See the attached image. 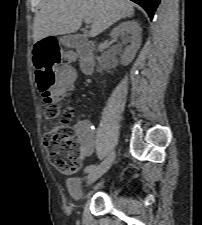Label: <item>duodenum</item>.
Masks as SVG:
<instances>
[{
	"mask_svg": "<svg viewBox=\"0 0 202 225\" xmlns=\"http://www.w3.org/2000/svg\"><path fill=\"white\" fill-rule=\"evenodd\" d=\"M81 70L85 74H91L95 69V44L84 42L78 50Z\"/></svg>",
	"mask_w": 202,
	"mask_h": 225,
	"instance_id": "obj_1",
	"label": "duodenum"
}]
</instances>
